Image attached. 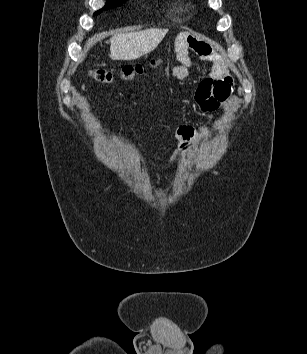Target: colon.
<instances>
[{
    "label": "colon",
    "instance_id": "colon-1",
    "mask_svg": "<svg viewBox=\"0 0 307 354\" xmlns=\"http://www.w3.org/2000/svg\"><path fill=\"white\" fill-rule=\"evenodd\" d=\"M158 63L159 62L157 59H153L150 61L149 65L151 67H155L158 65ZM144 71L145 66L141 64L128 65L121 69L119 72V77L125 81H132L136 77L143 74ZM89 74L95 81L103 84L111 83L115 78L114 73L111 70L105 68H93L90 70Z\"/></svg>",
    "mask_w": 307,
    "mask_h": 354
}]
</instances>
